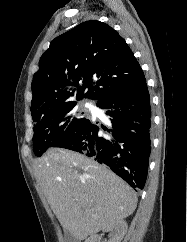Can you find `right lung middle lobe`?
Segmentation results:
<instances>
[{"label": "right lung middle lobe", "instance_id": "right-lung-middle-lobe-1", "mask_svg": "<svg viewBox=\"0 0 187 242\" xmlns=\"http://www.w3.org/2000/svg\"><path fill=\"white\" fill-rule=\"evenodd\" d=\"M76 102L61 105L41 115L34 121L33 149L40 157L58 141L74 133L87 120L78 113Z\"/></svg>", "mask_w": 187, "mask_h": 242}]
</instances>
